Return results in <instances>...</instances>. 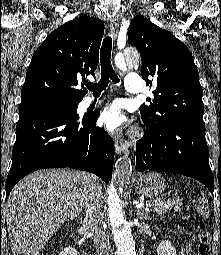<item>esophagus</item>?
Masks as SVG:
<instances>
[{
    "instance_id": "esophagus-1",
    "label": "esophagus",
    "mask_w": 221,
    "mask_h": 255,
    "mask_svg": "<svg viewBox=\"0 0 221 255\" xmlns=\"http://www.w3.org/2000/svg\"><path fill=\"white\" fill-rule=\"evenodd\" d=\"M119 29V21L117 18H113L110 21V31L113 40H116ZM115 151L118 155H121L127 148L126 142L119 136L114 138Z\"/></svg>"
}]
</instances>
